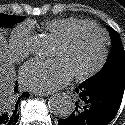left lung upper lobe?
Here are the masks:
<instances>
[{
	"label": "left lung upper lobe",
	"instance_id": "5c2ea615",
	"mask_svg": "<svg viewBox=\"0 0 125 125\" xmlns=\"http://www.w3.org/2000/svg\"><path fill=\"white\" fill-rule=\"evenodd\" d=\"M112 39V50L103 68L84 81L88 85H96L115 78L125 77V51L119 34L108 27Z\"/></svg>",
	"mask_w": 125,
	"mask_h": 125
}]
</instances>
